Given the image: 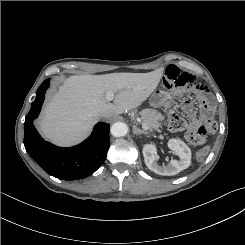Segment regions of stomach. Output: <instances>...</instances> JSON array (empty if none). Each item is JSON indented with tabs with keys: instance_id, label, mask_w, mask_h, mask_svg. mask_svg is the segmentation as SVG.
<instances>
[{
	"instance_id": "1",
	"label": "stomach",
	"mask_w": 245,
	"mask_h": 245,
	"mask_svg": "<svg viewBox=\"0 0 245 245\" xmlns=\"http://www.w3.org/2000/svg\"><path fill=\"white\" fill-rule=\"evenodd\" d=\"M169 99V93L162 88H158L151 95L149 103L151 106L159 108L162 107Z\"/></svg>"
}]
</instances>
